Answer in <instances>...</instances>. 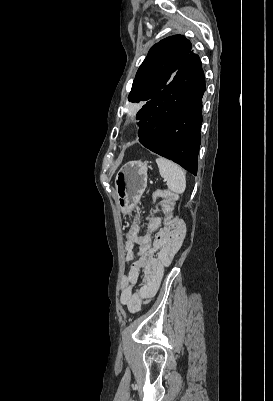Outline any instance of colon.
Listing matches in <instances>:
<instances>
[{
	"instance_id": "1",
	"label": "colon",
	"mask_w": 273,
	"mask_h": 401,
	"mask_svg": "<svg viewBox=\"0 0 273 401\" xmlns=\"http://www.w3.org/2000/svg\"><path fill=\"white\" fill-rule=\"evenodd\" d=\"M176 230H182V232H173ZM163 231V230H161ZM165 232H158L157 233V240L158 241H184L185 240V225L181 220L166 217L165 221ZM172 231V232H171ZM146 281L151 279L149 274L144 276Z\"/></svg>"
}]
</instances>
